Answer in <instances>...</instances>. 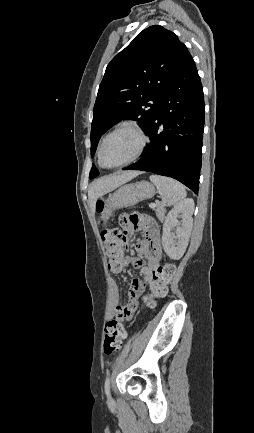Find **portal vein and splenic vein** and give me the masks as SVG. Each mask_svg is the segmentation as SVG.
<instances>
[{
  "label": "portal vein and splenic vein",
  "mask_w": 254,
  "mask_h": 433,
  "mask_svg": "<svg viewBox=\"0 0 254 433\" xmlns=\"http://www.w3.org/2000/svg\"><path fill=\"white\" fill-rule=\"evenodd\" d=\"M151 206H152V207H154V206H155V204H152Z\"/></svg>",
  "instance_id": "portal-vein-and-splenic-vein-1"
}]
</instances>
